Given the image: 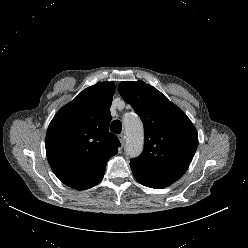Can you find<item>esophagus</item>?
<instances>
[{
  "mask_svg": "<svg viewBox=\"0 0 248 248\" xmlns=\"http://www.w3.org/2000/svg\"><path fill=\"white\" fill-rule=\"evenodd\" d=\"M118 139H119L121 145H124V143H125V136H124V134H119L118 135Z\"/></svg>",
  "mask_w": 248,
  "mask_h": 248,
  "instance_id": "34e87169",
  "label": "esophagus"
}]
</instances>
